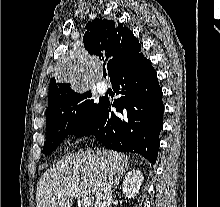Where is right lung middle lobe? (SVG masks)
<instances>
[{
	"label": "right lung middle lobe",
	"instance_id": "1",
	"mask_svg": "<svg viewBox=\"0 0 220 207\" xmlns=\"http://www.w3.org/2000/svg\"><path fill=\"white\" fill-rule=\"evenodd\" d=\"M101 102L102 99L95 104L90 91L76 92L51 113L46 114L47 139L43 153H51L69 134H75L82 128L92 118Z\"/></svg>",
	"mask_w": 220,
	"mask_h": 207
}]
</instances>
